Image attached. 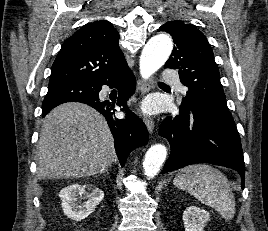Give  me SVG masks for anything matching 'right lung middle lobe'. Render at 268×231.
<instances>
[{
	"label": "right lung middle lobe",
	"instance_id": "obj_1",
	"mask_svg": "<svg viewBox=\"0 0 268 231\" xmlns=\"http://www.w3.org/2000/svg\"><path fill=\"white\" fill-rule=\"evenodd\" d=\"M94 94V88L86 84L74 82L49 84L48 93L43 102L63 101L62 103H64L72 100L91 98Z\"/></svg>",
	"mask_w": 268,
	"mask_h": 231
}]
</instances>
